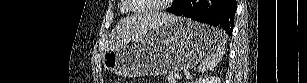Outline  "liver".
Here are the masks:
<instances>
[{"mask_svg":"<svg viewBox=\"0 0 307 83\" xmlns=\"http://www.w3.org/2000/svg\"><path fill=\"white\" fill-rule=\"evenodd\" d=\"M175 16L166 13H150L135 15L120 21L111 33L112 46L124 44L136 37L156 28L168 21L175 20Z\"/></svg>","mask_w":307,"mask_h":83,"instance_id":"6515ba94","label":"liver"}]
</instances>
